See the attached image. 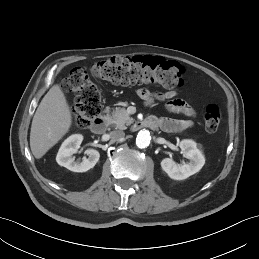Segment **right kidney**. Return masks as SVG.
<instances>
[{"mask_svg": "<svg viewBox=\"0 0 259 259\" xmlns=\"http://www.w3.org/2000/svg\"><path fill=\"white\" fill-rule=\"evenodd\" d=\"M82 140V135L74 134L62 143L56 156V161L60 166L66 167L73 172H86L95 166L100 157L99 152L95 149H87L85 153L88 158H84L82 162L75 161L72 157L80 148Z\"/></svg>", "mask_w": 259, "mask_h": 259, "instance_id": "1", "label": "right kidney"}]
</instances>
